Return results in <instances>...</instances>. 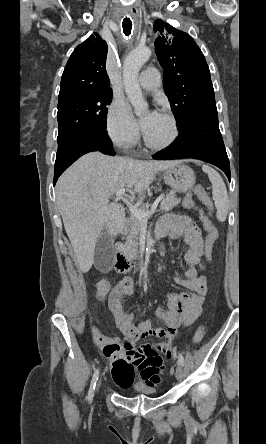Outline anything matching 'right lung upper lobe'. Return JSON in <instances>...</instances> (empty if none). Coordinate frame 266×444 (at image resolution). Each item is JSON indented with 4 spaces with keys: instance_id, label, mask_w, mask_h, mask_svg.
I'll use <instances>...</instances> for the list:
<instances>
[{
    "instance_id": "right-lung-upper-lobe-1",
    "label": "right lung upper lobe",
    "mask_w": 266,
    "mask_h": 444,
    "mask_svg": "<svg viewBox=\"0 0 266 444\" xmlns=\"http://www.w3.org/2000/svg\"><path fill=\"white\" fill-rule=\"evenodd\" d=\"M107 50L106 42L97 33L75 48L62 75L58 100L111 89L106 73Z\"/></svg>"
}]
</instances>
